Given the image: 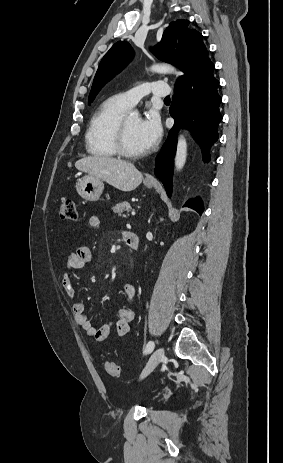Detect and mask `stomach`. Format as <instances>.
Segmentation results:
<instances>
[{"label": "stomach", "instance_id": "stomach-1", "mask_svg": "<svg viewBox=\"0 0 283 463\" xmlns=\"http://www.w3.org/2000/svg\"><path fill=\"white\" fill-rule=\"evenodd\" d=\"M145 186L152 188L154 183L145 182ZM104 184L101 179L93 176H85L76 183V191L80 197L87 201H97L102 194Z\"/></svg>", "mask_w": 283, "mask_h": 463}]
</instances>
